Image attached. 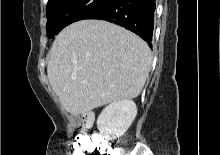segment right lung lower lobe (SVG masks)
Returning a JSON list of instances; mask_svg holds the SVG:
<instances>
[{"mask_svg": "<svg viewBox=\"0 0 220 155\" xmlns=\"http://www.w3.org/2000/svg\"><path fill=\"white\" fill-rule=\"evenodd\" d=\"M155 0H114L85 19H101L136 33L152 47Z\"/></svg>", "mask_w": 220, "mask_h": 155, "instance_id": "98d812e1", "label": "right lung lower lobe"}]
</instances>
